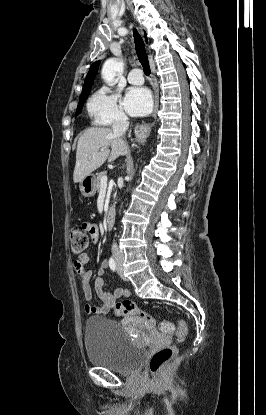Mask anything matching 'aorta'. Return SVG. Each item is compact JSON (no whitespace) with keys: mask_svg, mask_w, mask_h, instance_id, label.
<instances>
[{"mask_svg":"<svg viewBox=\"0 0 266 415\" xmlns=\"http://www.w3.org/2000/svg\"><path fill=\"white\" fill-rule=\"evenodd\" d=\"M123 69V63L114 59L110 58L105 61L103 68H102V78L104 81L112 86L115 83V77L118 71Z\"/></svg>","mask_w":266,"mask_h":415,"instance_id":"1","label":"aorta"}]
</instances>
